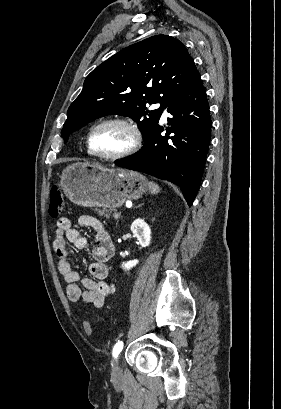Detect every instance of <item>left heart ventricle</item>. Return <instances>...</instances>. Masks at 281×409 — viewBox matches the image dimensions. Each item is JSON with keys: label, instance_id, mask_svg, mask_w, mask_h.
Masks as SVG:
<instances>
[{"label": "left heart ventricle", "instance_id": "left-heart-ventricle-1", "mask_svg": "<svg viewBox=\"0 0 281 409\" xmlns=\"http://www.w3.org/2000/svg\"><path fill=\"white\" fill-rule=\"evenodd\" d=\"M131 137L127 130L111 125L99 129L94 137V148L100 154H115L130 143Z\"/></svg>", "mask_w": 281, "mask_h": 409}]
</instances>
